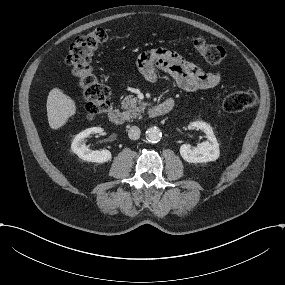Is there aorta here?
<instances>
[{
	"mask_svg": "<svg viewBox=\"0 0 285 285\" xmlns=\"http://www.w3.org/2000/svg\"><path fill=\"white\" fill-rule=\"evenodd\" d=\"M162 133L157 127H150L146 131V139L150 142H157L161 139Z\"/></svg>",
	"mask_w": 285,
	"mask_h": 285,
	"instance_id": "obj_1",
	"label": "aorta"
}]
</instances>
